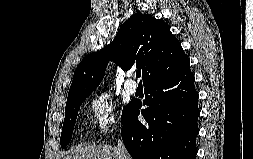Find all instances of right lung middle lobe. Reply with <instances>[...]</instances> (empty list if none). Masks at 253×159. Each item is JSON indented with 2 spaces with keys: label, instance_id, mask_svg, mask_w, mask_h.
<instances>
[{
  "label": "right lung middle lobe",
  "instance_id": "dd1d6c3e",
  "mask_svg": "<svg viewBox=\"0 0 253 159\" xmlns=\"http://www.w3.org/2000/svg\"><path fill=\"white\" fill-rule=\"evenodd\" d=\"M86 97L87 96L76 98L66 103L65 119H64L61 138H60V143H61L62 148H64L70 142L72 138L73 127L77 119L80 105L86 99ZM130 103L124 106L121 121L124 117L125 112L129 108Z\"/></svg>",
  "mask_w": 253,
  "mask_h": 159
}]
</instances>
